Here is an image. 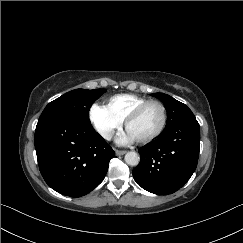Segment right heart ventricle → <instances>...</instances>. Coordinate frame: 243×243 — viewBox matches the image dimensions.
<instances>
[{
    "label": "right heart ventricle",
    "mask_w": 243,
    "mask_h": 243,
    "mask_svg": "<svg viewBox=\"0 0 243 243\" xmlns=\"http://www.w3.org/2000/svg\"><path fill=\"white\" fill-rule=\"evenodd\" d=\"M147 101V98L134 94H118L108 100L107 108L124 121L135 108Z\"/></svg>",
    "instance_id": "e07e8e85"
}]
</instances>
